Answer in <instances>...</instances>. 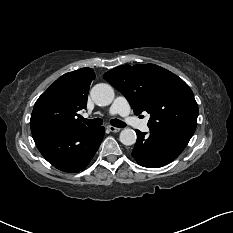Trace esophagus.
Returning a JSON list of instances; mask_svg holds the SVG:
<instances>
[{
	"mask_svg": "<svg viewBox=\"0 0 233 233\" xmlns=\"http://www.w3.org/2000/svg\"><path fill=\"white\" fill-rule=\"evenodd\" d=\"M107 129L110 132H113V133H117V132H119L121 130L120 128H117V127H114V126H107Z\"/></svg>",
	"mask_w": 233,
	"mask_h": 233,
	"instance_id": "1",
	"label": "esophagus"
}]
</instances>
